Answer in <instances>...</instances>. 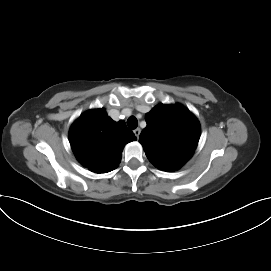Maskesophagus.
I'll return each instance as SVG.
<instances>
[{
  "instance_id": "esophagus-1",
  "label": "esophagus",
  "mask_w": 271,
  "mask_h": 271,
  "mask_svg": "<svg viewBox=\"0 0 271 271\" xmlns=\"http://www.w3.org/2000/svg\"><path fill=\"white\" fill-rule=\"evenodd\" d=\"M140 133H141L140 128H136V129L134 130V134H135V136H136L137 138H139Z\"/></svg>"
}]
</instances>
